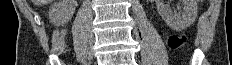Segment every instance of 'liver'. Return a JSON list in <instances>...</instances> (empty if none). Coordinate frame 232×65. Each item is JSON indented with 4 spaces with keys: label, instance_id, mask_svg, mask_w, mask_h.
Returning <instances> with one entry per match:
<instances>
[{
    "label": "liver",
    "instance_id": "obj_1",
    "mask_svg": "<svg viewBox=\"0 0 232 65\" xmlns=\"http://www.w3.org/2000/svg\"><path fill=\"white\" fill-rule=\"evenodd\" d=\"M32 2L36 5H45L52 2V0H32Z\"/></svg>",
    "mask_w": 232,
    "mask_h": 65
}]
</instances>
